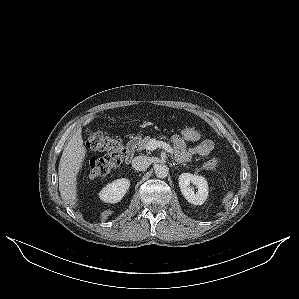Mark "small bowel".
<instances>
[{
    "label": "small bowel",
    "mask_w": 299,
    "mask_h": 299,
    "mask_svg": "<svg viewBox=\"0 0 299 299\" xmlns=\"http://www.w3.org/2000/svg\"><path fill=\"white\" fill-rule=\"evenodd\" d=\"M171 141L176 155L181 161H188L195 156H208L214 149V143L210 139H201L190 147H187L186 141L178 135H173Z\"/></svg>",
    "instance_id": "1"
}]
</instances>
